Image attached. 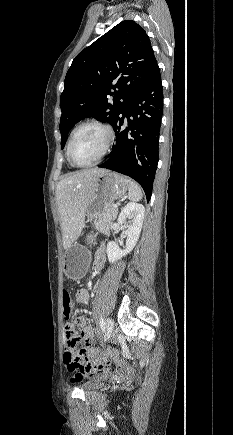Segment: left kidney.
Listing matches in <instances>:
<instances>
[{
    "instance_id": "left-kidney-1",
    "label": "left kidney",
    "mask_w": 233,
    "mask_h": 435,
    "mask_svg": "<svg viewBox=\"0 0 233 435\" xmlns=\"http://www.w3.org/2000/svg\"><path fill=\"white\" fill-rule=\"evenodd\" d=\"M144 213V206L135 202H129L121 210L118 217V223L124 225L126 228V246L125 249L122 250L116 242H108L106 253L110 263H114L133 250L140 236Z\"/></svg>"
}]
</instances>
